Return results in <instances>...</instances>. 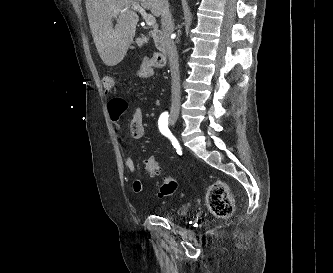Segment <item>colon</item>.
<instances>
[{
    "mask_svg": "<svg viewBox=\"0 0 333 273\" xmlns=\"http://www.w3.org/2000/svg\"><path fill=\"white\" fill-rule=\"evenodd\" d=\"M149 62L153 67H162L165 63L164 57L155 53L149 57ZM105 88L110 92L116 91V82L112 77L103 80ZM145 171L152 177L161 176L158 184V192L161 196H170L177 190L175 179L164 171L161 164L153 157L146 159L143 163ZM209 210L219 218H227L232 215L234 203L228 185L221 180L213 182L207 190L206 195Z\"/></svg>",
    "mask_w": 333,
    "mask_h": 273,
    "instance_id": "1",
    "label": "colon"
}]
</instances>
